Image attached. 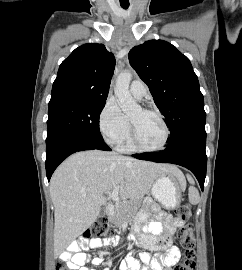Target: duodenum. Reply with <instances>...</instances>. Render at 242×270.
<instances>
[{"label": "duodenum", "instance_id": "1", "mask_svg": "<svg viewBox=\"0 0 242 270\" xmlns=\"http://www.w3.org/2000/svg\"><path fill=\"white\" fill-rule=\"evenodd\" d=\"M113 213H114V208H113L112 206H109V207L107 208V210H106V215H107L108 217H111V216L113 215Z\"/></svg>", "mask_w": 242, "mask_h": 270}]
</instances>
